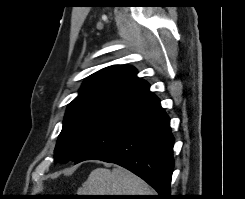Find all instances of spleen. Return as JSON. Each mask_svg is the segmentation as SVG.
Returning a JSON list of instances; mask_svg holds the SVG:
<instances>
[{"mask_svg": "<svg viewBox=\"0 0 245 199\" xmlns=\"http://www.w3.org/2000/svg\"><path fill=\"white\" fill-rule=\"evenodd\" d=\"M78 195H155L146 182L124 168L93 170Z\"/></svg>", "mask_w": 245, "mask_h": 199, "instance_id": "spleen-1", "label": "spleen"}]
</instances>
